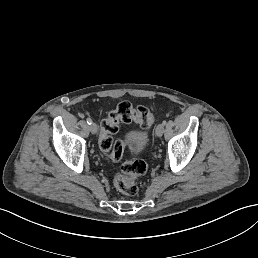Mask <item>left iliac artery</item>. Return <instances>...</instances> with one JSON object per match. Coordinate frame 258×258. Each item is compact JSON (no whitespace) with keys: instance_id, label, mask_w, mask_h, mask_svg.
Returning <instances> with one entry per match:
<instances>
[{"instance_id":"44dca946","label":"left iliac artery","mask_w":258,"mask_h":258,"mask_svg":"<svg viewBox=\"0 0 258 258\" xmlns=\"http://www.w3.org/2000/svg\"><path fill=\"white\" fill-rule=\"evenodd\" d=\"M166 124H167V121H166V120H163V121H162V125L165 126Z\"/></svg>"}]
</instances>
